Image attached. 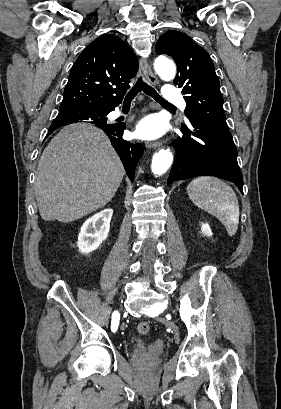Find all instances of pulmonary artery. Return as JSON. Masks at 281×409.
I'll return each mask as SVG.
<instances>
[{"label": "pulmonary artery", "mask_w": 281, "mask_h": 409, "mask_svg": "<svg viewBox=\"0 0 281 409\" xmlns=\"http://www.w3.org/2000/svg\"><path fill=\"white\" fill-rule=\"evenodd\" d=\"M164 92L166 94L165 101L167 103H181L180 106L182 109L186 107V103L184 102V95L178 93V88L177 86H175V83L173 81H168L166 83ZM121 115H122V112L119 110H116L111 113L112 118H117Z\"/></svg>", "instance_id": "obj_1"}]
</instances>
